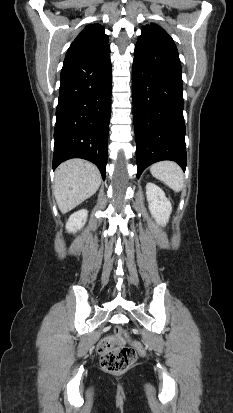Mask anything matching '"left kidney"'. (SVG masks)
<instances>
[{
  "label": "left kidney",
  "mask_w": 233,
  "mask_h": 413,
  "mask_svg": "<svg viewBox=\"0 0 233 413\" xmlns=\"http://www.w3.org/2000/svg\"><path fill=\"white\" fill-rule=\"evenodd\" d=\"M146 195L149 210L157 223L166 225L172 211V206L164 191L157 185L149 182L146 184Z\"/></svg>",
  "instance_id": "1"
}]
</instances>
